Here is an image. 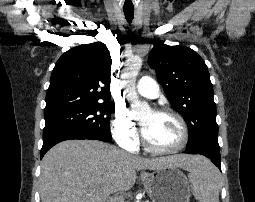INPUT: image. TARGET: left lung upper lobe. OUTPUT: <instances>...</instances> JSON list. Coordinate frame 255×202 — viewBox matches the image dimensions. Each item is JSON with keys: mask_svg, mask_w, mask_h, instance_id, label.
<instances>
[{"mask_svg": "<svg viewBox=\"0 0 255 202\" xmlns=\"http://www.w3.org/2000/svg\"><path fill=\"white\" fill-rule=\"evenodd\" d=\"M149 65L189 127L186 150L219 152L213 86L203 59L188 47L157 42L150 52Z\"/></svg>", "mask_w": 255, "mask_h": 202, "instance_id": "5c2ea615", "label": "left lung upper lobe"}]
</instances>
